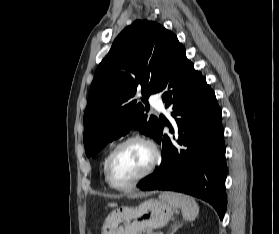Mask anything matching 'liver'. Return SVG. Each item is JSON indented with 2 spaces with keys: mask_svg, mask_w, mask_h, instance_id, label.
<instances>
[{
  "mask_svg": "<svg viewBox=\"0 0 279 234\" xmlns=\"http://www.w3.org/2000/svg\"><path fill=\"white\" fill-rule=\"evenodd\" d=\"M143 196H144V194H142V193H134V194L130 195L129 197L137 198V197H143Z\"/></svg>",
  "mask_w": 279,
  "mask_h": 234,
  "instance_id": "obj_1",
  "label": "liver"
}]
</instances>
